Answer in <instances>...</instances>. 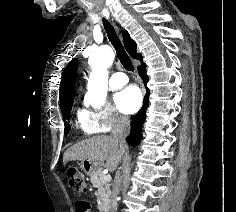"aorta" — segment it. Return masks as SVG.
Returning <instances> with one entry per match:
<instances>
[{"mask_svg": "<svg viewBox=\"0 0 236 212\" xmlns=\"http://www.w3.org/2000/svg\"><path fill=\"white\" fill-rule=\"evenodd\" d=\"M114 52L109 46H101L91 52L89 65L92 68L88 79V92L86 97L93 107L104 104L108 90V67L114 61Z\"/></svg>", "mask_w": 236, "mask_h": 212, "instance_id": "1", "label": "aorta"}]
</instances>
